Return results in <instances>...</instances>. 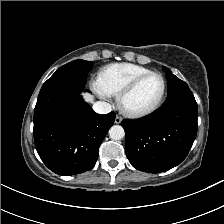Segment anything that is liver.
I'll use <instances>...</instances> for the list:
<instances>
[{"label":"liver","instance_id":"obj_1","mask_svg":"<svg viewBox=\"0 0 224 224\" xmlns=\"http://www.w3.org/2000/svg\"><path fill=\"white\" fill-rule=\"evenodd\" d=\"M83 97H84L85 101L88 103H93V101H94V96H92L88 93L83 94Z\"/></svg>","mask_w":224,"mask_h":224}]
</instances>
